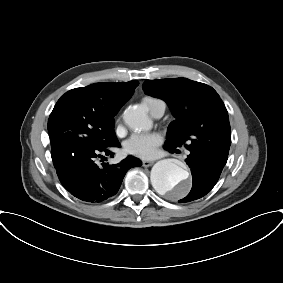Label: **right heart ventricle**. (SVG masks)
<instances>
[{"mask_svg":"<svg viewBox=\"0 0 283 283\" xmlns=\"http://www.w3.org/2000/svg\"><path fill=\"white\" fill-rule=\"evenodd\" d=\"M143 103L151 110L152 107L159 101V99H156V98H153V97H150V96H145L143 99H142Z\"/></svg>","mask_w":283,"mask_h":283,"instance_id":"obj_1","label":"right heart ventricle"}]
</instances>
